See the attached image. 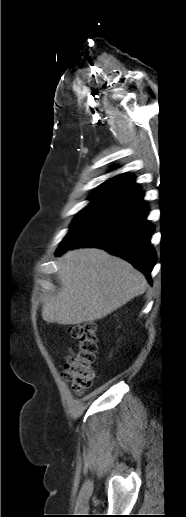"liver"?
Listing matches in <instances>:
<instances>
[{"label": "liver", "instance_id": "obj_1", "mask_svg": "<svg viewBox=\"0 0 186 517\" xmlns=\"http://www.w3.org/2000/svg\"><path fill=\"white\" fill-rule=\"evenodd\" d=\"M58 279L61 289L44 299L42 318L62 325L101 319L147 287L145 276L130 263L97 248L66 252L60 258Z\"/></svg>", "mask_w": 186, "mask_h": 517}]
</instances>
